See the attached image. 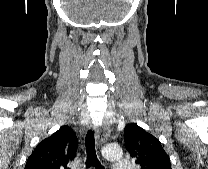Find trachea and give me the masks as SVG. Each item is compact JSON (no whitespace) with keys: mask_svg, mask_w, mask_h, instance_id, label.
<instances>
[{"mask_svg":"<svg viewBox=\"0 0 208 169\" xmlns=\"http://www.w3.org/2000/svg\"><path fill=\"white\" fill-rule=\"evenodd\" d=\"M85 144L87 154L86 167L88 168L90 166H93L96 169H103L96 155L94 131L87 132Z\"/></svg>","mask_w":208,"mask_h":169,"instance_id":"1","label":"trachea"}]
</instances>
